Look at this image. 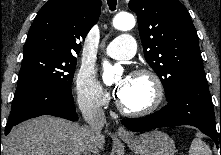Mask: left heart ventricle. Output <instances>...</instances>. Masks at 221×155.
Instances as JSON below:
<instances>
[{
  "mask_svg": "<svg viewBox=\"0 0 221 155\" xmlns=\"http://www.w3.org/2000/svg\"><path fill=\"white\" fill-rule=\"evenodd\" d=\"M123 78L117 80L119 84ZM155 95L154 85L147 76H130L127 87L119 100L130 110H141L148 107Z\"/></svg>",
  "mask_w": 221,
  "mask_h": 155,
  "instance_id": "left-heart-ventricle-1",
  "label": "left heart ventricle"
}]
</instances>
